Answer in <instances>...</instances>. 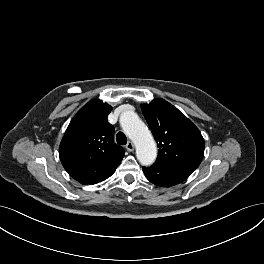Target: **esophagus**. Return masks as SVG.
Wrapping results in <instances>:
<instances>
[{
  "label": "esophagus",
  "mask_w": 264,
  "mask_h": 264,
  "mask_svg": "<svg viewBox=\"0 0 264 264\" xmlns=\"http://www.w3.org/2000/svg\"><path fill=\"white\" fill-rule=\"evenodd\" d=\"M126 149L130 152H132L134 150V144L129 141L127 144H126Z\"/></svg>",
  "instance_id": "1"
}]
</instances>
